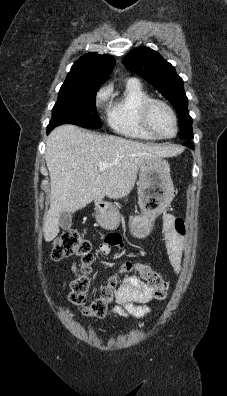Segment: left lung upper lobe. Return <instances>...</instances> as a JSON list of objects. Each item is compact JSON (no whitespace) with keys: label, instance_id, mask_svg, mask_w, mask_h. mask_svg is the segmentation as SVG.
<instances>
[{"label":"left lung upper lobe","instance_id":"left-lung-upper-lobe-1","mask_svg":"<svg viewBox=\"0 0 227 396\" xmlns=\"http://www.w3.org/2000/svg\"><path fill=\"white\" fill-rule=\"evenodd\" d=\"M126 68L148 81L176 109L181 138H193L192 118L188 112V99L184 92L183 80L174 67L162 56L149 48L138 47L123 58Z\"/></svg>","mask_w":227,"mask_h":396}]
</instances>
